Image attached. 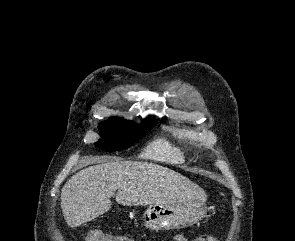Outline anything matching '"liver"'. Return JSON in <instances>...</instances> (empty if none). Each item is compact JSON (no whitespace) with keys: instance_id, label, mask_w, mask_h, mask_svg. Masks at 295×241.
I'll use <instances>...</instances> for the list:
<instances>
[{"instance_id":"liver-1","label":"liver","mask_w":295,"mask_h":241,"mask_svg":"<svg viewBox=\"0 0 295 241\" xmlns=\"http://www.w3.org/2000/svg\"><path fill=\"white\" fill-rule=\"evenodd\" d=\"M114 195L124 206L187 203L207 197L200 186L166 167L102 159L63 186L61 208L67 225L77 227L103 215L110 210Z\"/></svg>"}]
</instances>
